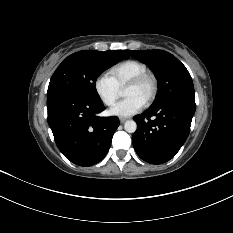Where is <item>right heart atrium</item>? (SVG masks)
<instances>
[{
  "instance_id": "d8ad5b80",
  "label": "right heart atrium",
  "mask_w": 233,
  "mask_h": 233,
  "mask_svg": "<svg viewBox=\"0 0 233 233\" xmlns=\"http://www.w3.org/2000/svg\"><path fill=\"white\" fill-rule=\"evenodd\" d=\"M96 95L106 106H112L120 96V88L110 75L102 73L93 83Z\"/></svg>"
}]
</instances>
